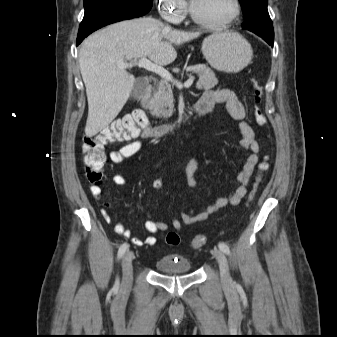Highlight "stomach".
Here are the masks:
<instances>
[{"mask_svg":"<svg viewBox=\"0 0 337 337\" xmlns=\"http://www.w3.org/2000/svg\"><path fill=\"white\" fill-rule=\"evenodd\" d=\"M202 52L216 70L238 73L251 61V45L237 32L215 33L204 39Z\"/></svg>","mask_w":337,"mask_h":337,"instance_id":"1","label":"stomach"}]
</instances>
